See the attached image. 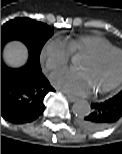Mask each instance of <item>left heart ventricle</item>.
I'll return each instance as SVG.
<instances>
[{
    "label": "left heart ventricle",
    "instance_id": "1",
    "mask_svg": "<svg viewBox=\"0 0 122 154\" xmlns=\"http://www.w3.org/2000/svg\"><path fill=\"white\" fill-rule=\"evenodd\" d=\"M79 69L87 73L94 90H100L113 83L122 70V56L111 54L102 61L96 62L85 57Z\"/></svg>",
    "mask_w": 122,
    "mask_h": 154
}]
</instances>
